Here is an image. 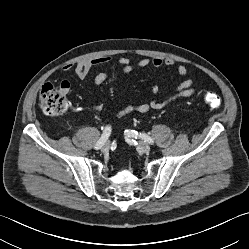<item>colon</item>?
Masks as SVG:
<instances>
[{"label":"colon","mask_w":249,"mask_h":249,"mask_svg":"<svg viewBox=\"0 0 249 249\" xmlns=\"http://www.w3.org/2000/svg\"><path fill=\"white\" fill-rule=\"evenodd\" d=\"M204 101L213 109H217L221 106L220 96L213 91H206L204 93ZM39 105L45 114L57 116L67 111L69 101L60 88L58 89L51 83H46L40 89Z\"/></svg>","instance_id":"colon-1"}]
</instances>
